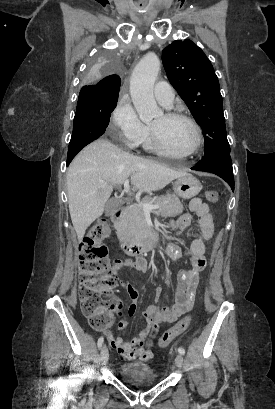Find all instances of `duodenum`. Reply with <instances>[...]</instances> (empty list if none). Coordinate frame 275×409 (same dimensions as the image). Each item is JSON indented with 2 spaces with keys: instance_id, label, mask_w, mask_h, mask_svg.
Here are the masks:
<instances>
[{
  "instance_id": "1",
  "label": "duodenum",
  "mask_w": 275,
  "mask_h": 409,
  "mask_svg": "<svg viewBox=\"0 0 275 409\" xmlns=\"http://www.w3.org/2000/svg\"><path fill=\"white\" fill-rule=\"evenodd\" d=\"M125 214V207L119 208L111 217L114 225L119 226ZM124 251L132 256L143 255L160 244V235L156 231H150L140 242H127L122 235L119 236Z\"/></svg>"
}]
</instances>
